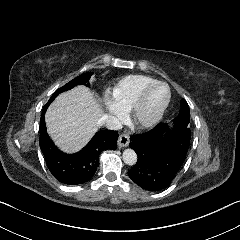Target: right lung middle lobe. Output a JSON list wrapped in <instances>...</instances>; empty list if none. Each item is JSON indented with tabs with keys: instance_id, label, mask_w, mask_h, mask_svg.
<instances>
[{
	"instance_id": "dd1d6c3e",
	"label": "right lung middle lobe",
	"mask_w": 240,
	"mask_h": 240,
	"mask_svg": "<svg viewBox=\"0 0 240 240\" xmlns=\"http://www.w3.org/2000/svg\"><path fill=\"white\" fill-rule=\"evenodd\" d=\"M91 75H92L91 72H87L82 75H79L78 77L74 78L73 80L65 84L63 87L59 88L49 99L48 103L44 106L43 111H45L48 108V106L53 102V100L58 96L59 93L67 91L75 87L76 85L89 86L88 80L91 77Z\"/></svg>"
}]
</instances>
